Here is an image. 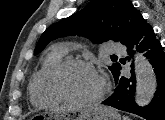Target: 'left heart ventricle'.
Wrapping results in <instances>:
<instances>
[{
  "mask_svg": "<svg viewBox=\"0 0 165 120\" xmlns=\"http://www.w3.org/2000/svg\"><path fill=\"white\" fill-rule=\"evenodd\" d=\"M62 86L64 91L73 98L89 99L100 93L102 80L90 69L74 67L63 76Z\"/></svg>",
  "mask_w": 165,
  "mask_h": 120,
  "instance_id": "left-heart-ventricle-1",
  "label": "left heart ventricle"
}]
</instances>
